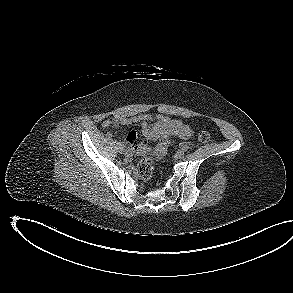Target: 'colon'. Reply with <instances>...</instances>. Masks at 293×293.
I'll return each mask as SVG.
<instances>
[{"label": "colon", "instance_id": "5ec220e1", "mask_svg": "<svg viewBox=\"0 0 293 293\" xmlns=\"http://www.w3.org/2000/svg\"><path fill=\"white\" fill-rule=\"evenodd\" d=\"M198 140L201 143H207L210 140V134L206 131H201L198 133ZM172 147V140L170 136H165L161 139L157 147L155 148V155L157 157L165 156L170 148ZM153 163L150 158H144L141 160L137 167V173L139 177L144 180L150 179L153 175Z\"/></svg>", "mask_w": 293, "mask_h": 293}]
</instances>
